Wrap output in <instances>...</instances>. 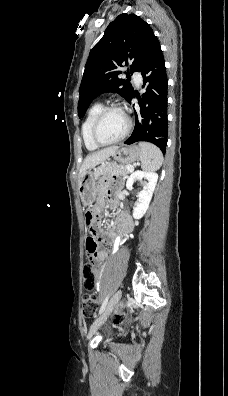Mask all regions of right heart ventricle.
<instances>
[{"mask_svg":"<svg viewBox=\"0 0 228 396\" xmlns=\"http://www.w3.org/2000/svg\"><path fill=\"white\" fill-rule=\"evenodd\" d=\"M103 108V104L101 102H95L88 110L87 115L82 124V138L86 148L90 151L97 150L99 146L92 140L91 137V128L94 122L95 117L99 113V111Z\"/></svg>","mask_w":228,"mask_h":396,"instance_id":"right-heart-ventricle-1","label":"right heart ventricle"}]
</instances>
